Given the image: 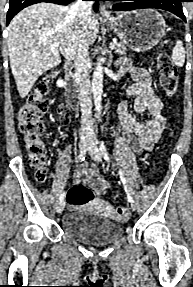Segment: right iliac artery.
Masks as SVG:
<instances>
[{"instance_id":"1","label":"right iliac artery","mask_w":193,"mask_h":287,"mask_svg":"<svg viewBox=\"0 0 193 287\" xmlns=\"http://www.w3.org/2000/svg\"><path fill=\"white\" fill-rule=\"evenodd\" d=\"M85 153L86 152H81L78 156V160L82 163L84 160H85ZM65 197V192H63L60 197H59V200L62 201Z\"/></svg>"}]
</instances>
